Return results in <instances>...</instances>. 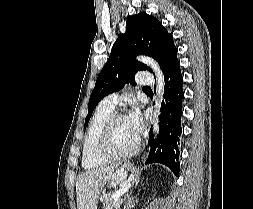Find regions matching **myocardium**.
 <instances>
[{"mask_svg": "<svg viewBox=\"0 0 253 209\" xmlns=\"http://www.w3.org/2000/svg\"><path fill=\"white\" fill-rule=\"evenodd\" d=\"M121 118H124L122 113H113L107 121L104 123L98 143H97V153L100 157L107 160H123L133 156L140 147V139L137 138L135 145L123 153H116L111 149V136H112V128L114 124Z\"/></svg>", "mask_w": 253, "mask_h": 209, "instance_id": "obj_1", "label": "myocardium"}]
</instances>
